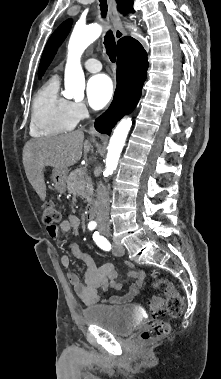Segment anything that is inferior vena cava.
<instances>
[{"label": "inferior vena cava", "mask_w": 221, "mask_h": 379, "mask_svg": "<svg viewBox=\"0 0 221 379\" xmlns=\"http://www.w3.org/2000/svg\"><path fill=\"white\" fill-rule=\"evenodd\" d=\"M98 213L97 223L100 230H109V192L100 181L97 186Z\"/></svg>", "instance_id": "1"}]
</instances>
